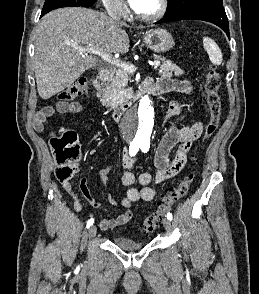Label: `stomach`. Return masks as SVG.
<instances>
[{"label": "stomach", "instance_id": "1", "mask_svg": "<svg viewBox=\"0 0 259 294\" xmlns=\"http://www.w3.org/2000/svg\"><path fill=\"white\" fill-rule=\"evenodd\" d=\"M143 40L146 46L156 53H165L174 45L172 35L161 28L147 31L143 36Z\"/></svg>", "mask_w": 259, "mask_h": 294}]
</instances>
